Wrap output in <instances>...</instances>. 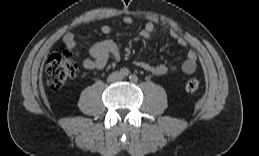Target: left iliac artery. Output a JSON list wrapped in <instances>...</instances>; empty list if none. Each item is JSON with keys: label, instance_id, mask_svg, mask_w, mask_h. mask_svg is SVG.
Listing matches in <instances>:
<instances>
[{"label": "left iliac artery", "instance_id": "left-iliac-artery-1", "mask_svg": "<svg viewBox=\"0 0 259 156\" xmlns=\"http://www.w3.org/2000/svg\"><path fill=\"white\" fill-rule=\"evenodd\" d=\"M129 79L132 81V82H137L138 81V77L135 75V74H131L129 76Z\"/></svg>", "mask_w": 259, "mask_h": 156}]
</instances>
